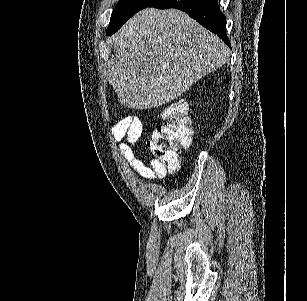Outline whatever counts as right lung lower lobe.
I'll return each mask as SVG.
<instances>
[{"mask_svg":"<svg viewBox=\"0 0 307 301\" xmlns=\"http://www.w3.org/2000/svg\"><path fill=\"white\" fill-rule=\"evenodd\" d=\"M149 7L182 10L231 46L226 35V17L218 6V0H157Z\"/></svg>","mask_w":307,"mask_h":301,"instance_id":"98d812e1","label":"right lung lower lobe"}]
</instances>
